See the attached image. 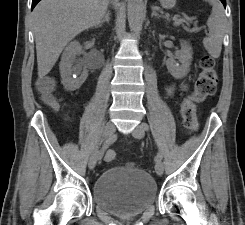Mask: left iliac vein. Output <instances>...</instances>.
Returning <instances> with one entry per match:
<instances>
[{
    "instance_id": "1",
    "label": "left iliac vein",
    "mask_w": 245,
    "mask_h": 225,
    "mask_svg": "<svg viewBox=\"0 0 245 225\" xmlns=\"http://www.w3.org/2000/svg\"><path fill=\"white\" fill-rule=\"evenodd\" d=\"M144 134H145V130L143 129L142 127V124L136 126L134 128V130L132 131V135L134 138L136 139H141L144 137ZM155 171L157 173V175L161 176L164 172V165L161 161H156V164H155Z\"/></svg>"
}]
</instances>
